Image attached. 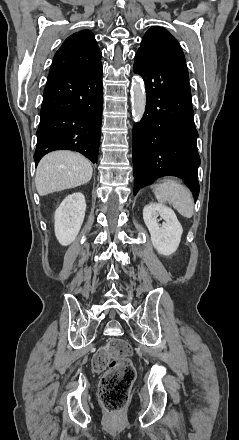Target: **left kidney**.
<instances>
[{
	"label": "left kidney",
	"mask_w": 239,
	"mask_h": 440,
	"mask_svg": "<svg viewBox=\"0 0 239 440\" xmlns=\"http://www.w3.org/2000/svg\"><path fill=\"white\" fill-rule=\"evenodd\" d=\"M158 216L161 220H164L161 228L157 222ZM143 220L151 234V242L158 254H163V256L174 254L180 244L183 230L173 210L168 206H163V204L151 202L143 210Z\"/></svg>",
	"instance_id": "obj_1"
}]
</instances>
